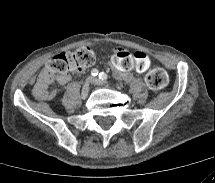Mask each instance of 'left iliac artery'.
I'll return each instance as SVG.
<instances>
[{
  "mask_svg": "<svg viewBox=\"0 0 215 183\" xmlns=\"http://www.w3.org/2000/svg\"><path fill=\"white\" fill-rule=\"evenodd\" d=\"M99 78L101 80H107L108 79V75L105 72H101V73H99Z\"/></svg>",
  "mask_w": 215,
  "mask_h": 183,
  "instance_id": "44dca946",
  "label": "left iliac artery"
}]
</instances>
